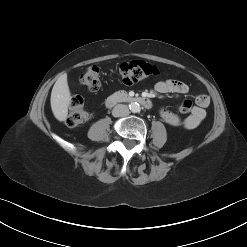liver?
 Wrapping results in <instances>:
<instances>
[{
    "instance_id": "6515ba94",
    "label": "liver",
    "mask_w": 247,
    "mask_h": 247,
    "mask_svg": "<svg viewBox=\"0 0 247 247\" xmlns=\"http://www.w3.org/2000/svg\"><path fill=\"white\" fill-rule=\"evenodd\" d=\"M50 102L55 118L61 122L65 121L68 115V107L71 103L67 74L61 75L54 84Z\"/></svg>"
}]
</instances>
